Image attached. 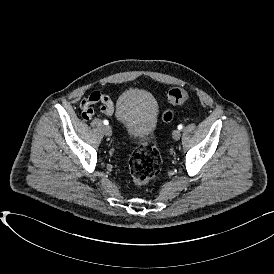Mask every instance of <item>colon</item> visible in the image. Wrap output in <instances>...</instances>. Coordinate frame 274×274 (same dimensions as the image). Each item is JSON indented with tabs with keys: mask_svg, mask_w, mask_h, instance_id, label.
Here are the masks:
<instances>
[{
	"mask_svg": "<svg viewBox=\"0 0 274 274\" xmlns=\"http://www.w3.org/2000/svg\"><path fill=\"white\" fill-rule=\"evenodd\" d=\"M167 101L171 106H178L192 101V96L181 88H173L169 91ZM174 118L172 109H167L162 114L164 122H170ZM162 168L161 154L154 145L152 139L147 138L131 156L129 173L132 181L137 185H143L152 179Z\"/></svg>",
	"mask_w": 274,
	"mask_h": 274,
	"instance_id": "colon-1",
	"label": "colon"
}]
</instances>
